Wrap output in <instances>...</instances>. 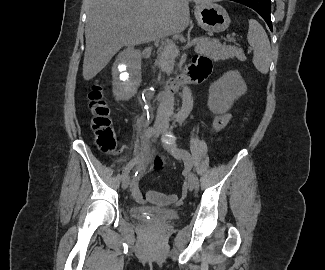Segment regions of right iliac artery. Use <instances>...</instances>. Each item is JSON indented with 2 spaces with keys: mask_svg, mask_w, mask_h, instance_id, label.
<instances>
[{
  "mask_svg": "<svg viewBox=\"0 0 325 270\" xmlns=\"http://www.w3.org/2000/svg\"><path fill=\"white\" fill-rule=\"evenodd\" d=\"M152 131H153V128H148L147 130H146V132H145V134H144V141L145 142H147L149 139H150V137L152 136ZM139 162V157H135V158H133L127 165H126V167L124 168V171H123V174H122V179L124 180L127 176H128V174H129V172H130V170L135 166V164H137Z\"/></svg>",
  "mask_w": 325,
  "mask_h": 270,
  "instance_id": "obj_1",
  "label": "right iliac artery"
}]
</instances>
